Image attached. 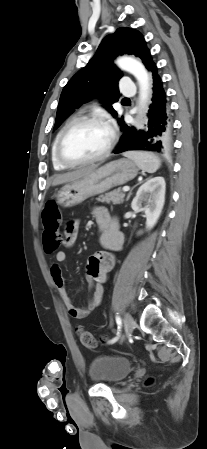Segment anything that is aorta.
<instances>
[{"mask_svg": "<svg viewBox=\"0 0 207 449\" xmlns=\"http://www.w3.org/2000/svg\"><path fill=\"white\" fill-rule=\"evenodd\" d=\"M116 64L120 69L131 73L137 79L140 87V104L144 106L150 89L149 74L146 68L140 61L130 57H121L117 59Z\"/></svg>", "mask_w": 207, "mask_h": 449, "instance_id": "aorta-1", "label": "aorta"}]
</instances>
